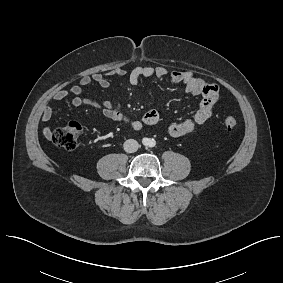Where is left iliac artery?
<instances>
[{
	"instance_id": "44dca946",
	"label": "left iliac artery",
	"mask_w": 283,
	"mask_h": 283,
	"mask_svg": "<svg viewBox=\"0 0 283 283\" xmlns=\"http://www.w3.org/2000/svg\"><path fill=\"white\" fill-rule=\"evenodd\" d=\"M151 145L152 146L155 145V141L154 140L151 141Z\"/></svg>"
}]
</instances>
